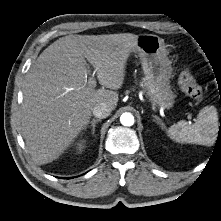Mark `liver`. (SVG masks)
I'll use <instances>...</instances> for the list:
<instances>
[{
	"mask_svg": "<svg viewBox=\"0 0 221 221\" xmlns=\"http://www.w3.org/2000/svg\"><path fill=\"white\" fill-rule=\"evenodd\" d=\"M137 40L133 34L66 36L40 54L23 90L22 133L36 163L57 159L89 123L95 105L116 108L119 98L113 90L123 84ZM86 60L96 68L102 89L95 90L90 78L87 81Z\"/></svg>",
	"mask_w": 221,
	"mask_h": 221,
	"instance_id": "obj_1",
	"label": "liver"
}]
</instances>
